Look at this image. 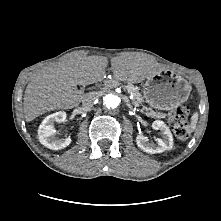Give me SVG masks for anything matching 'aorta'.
I'll use <instances>...</instances> for the list:
<instances>
[{
	"mask_svg": "<svg viewBox=\"0 0 221 221\" xmlns=\"http://www.w3.org/2000/svg\"><path fill=\"white\" fill-rule=\"evenodd\" d=\"M103 104L107 109H115L119 106L120 104V99L118 96L113 95V94H107L103 98Z\"/></svg>",
	"mask_w": 221,
	"mask_h": 221,
	"instance_id": "obj_1",
	"label": "aorta"
}]
</instances>
